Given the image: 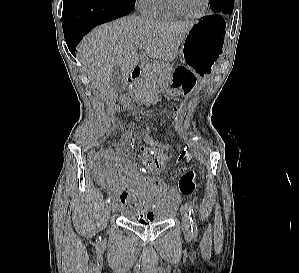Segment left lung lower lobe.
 Here are the masks:
<instances>
[{
  "mask_svg": "<svg viewBox=\"0 0 299 273\" xmlns=\"http://www.w3.org/2000/svg\"><path fill=\"white\" fill-rule=\"evenodd\" d=\"M232 11H233V8H230V9L224 8L221 10V12H223V13H231Z\"/></svg>",
  "mask_w": 299,
  "mask_h": 273,
  "instance_id": "left-lung-lower-lobe-1",
  "label": "left lung lower lobe"
}]
</instances>
